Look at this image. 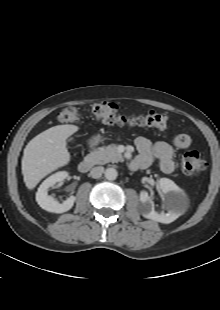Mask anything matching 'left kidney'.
I'll return each mask as SVG.
<instances>
[{
  "mask_svg": "<svg viewBox=\"0 0 220 310\" xmlns=\"http://www.w3.org/2000/svg\"><path fill=\"white\" fill-rule=\"evenodd\" d=\"M158 185L162 192L166 194V205L170 204L174 196L183 197L184 195L182 189L168 178H161ZM139 199L141 201V213L144 217L165 224L171 223L175 219L176 214L173 211H169L167 214L164 212L157 213L154 210V203L146 191L140 192Z\"/></svg>",
  "mask_w": 220,
  "mask_h": 310,
  "instance_id": "5707ae66",
  "label": "left kidney"
}]
</instances>
